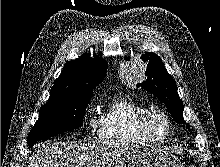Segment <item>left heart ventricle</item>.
<instances>
[{"label": "left heart ventricle", "mask_w": 220, "mask_h": 167, "mask_svg": "<svg viewBox=\"0 0 220 167\" xmlns=\"http://www.w3.org/2000/svg\"><path fill=\"white\" fill-rule=\"evenodd\" d=\"M151 127H152V130H153V133L156 136L164 135L166 133V130H167L166 125L160 119H154L151 123Z\"/></svg>", "instance_id": "obj_1"}]
</instances>
